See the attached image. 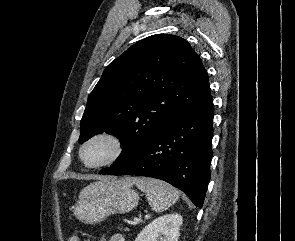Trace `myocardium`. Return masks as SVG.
<instances>
[{"label": "myocardium", "instance_id": "obj_1", "mask_svg": "<svg viewBox=\"0 0 295 241\" xmlns=\"http://www.w3.org/2000/svg\"><path fill=\"white\" fill-rule=\"evenodd\" d=\"M97 139H107L111 141L114 145V152L112 155L107 158L106 160L96 163V164H89L84 159V151L87 146ZM126 152V144L124 139L116 132L110 130H102L98 131L91 136H89L80 146L78 156L79 160L82 165L88 169H98L106 166H110L115 164L119 160L123 158Z\"/></svg>", "mask_w": 295, "mask_h": 241}]
</instances>
